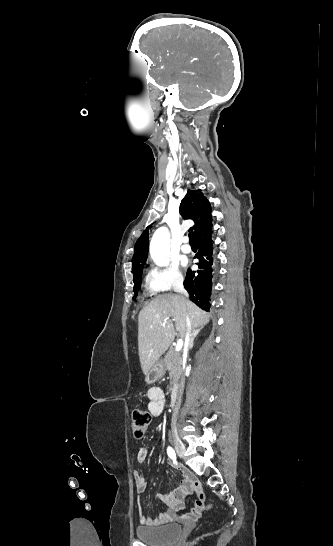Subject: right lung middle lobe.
<instances>
[{
	"mask_svg": "<svg viewBox=\"0 0 333 546\" xmlns=\"http://www.w3.org/2000/svg\"><path fill=\"white\" fill-rule=\"evenodd\" d=\"M133 281L135 283V286H134V298L137 296V292H138V289H139V285H140V276L139 274L136 275L134 278H133Z\"/></svg>",
	"mask_w": 333,
	"mask_h": 546,
	"instance_id": "obj_1",
	"label": "right lung middle lobe"
}]
</instances>
